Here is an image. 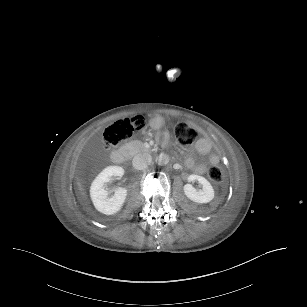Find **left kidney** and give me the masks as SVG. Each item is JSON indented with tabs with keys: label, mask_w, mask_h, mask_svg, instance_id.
Listing matches in <instances>:
<instances>
[{
	"label": "left kidney",
	"mask_w": 307,
	"mask_h": 307,
	"mask_svg": "<svg viewBox=\"0 0 307 307\" xmlns=\"http://www.w3.org/2000/svg\"><path fill=\"white\" fill-rule=\"evenodd\" d=\"M198 181L202 189H196L192 184H185L183 187L185 195L197 203H208L214 198V189L210 182L199 175L191 174L188 176V182Z\"/></svg>",
	"instance_id": "obj_1"
}]
</instances>
